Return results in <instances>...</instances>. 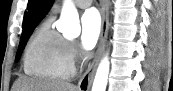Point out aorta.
Masks as SVG:
<instances>
[{
    "instance_id": "762f6f07",
    "label": "aorta",
    "mask_w": 173,
    "mask_h": 91,
    "mask_svg": "<svg viewBox=\"0 0 173 91\" xmlns=\"http://www.w3.org/2000/svg\"><path fill=\"white\" fill-rule=\"evenodd\" d=\"M57 27L61 32L71 37H76L80 34L78 12L71 0H65ZM109 67L108 56H105L97 69L92 91L106 90Z\"/></svg>"
}]
</instances>
